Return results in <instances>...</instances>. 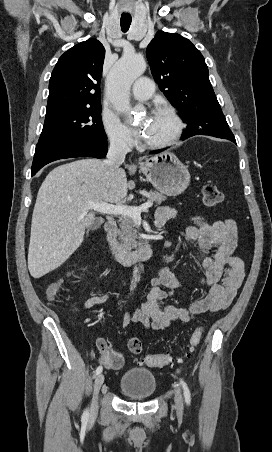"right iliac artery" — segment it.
<instances>
[{
  "mask_svg": "<svg viewBox=\"0 0 272 452\" xmlns=\"http://www.w3.org/2000/svg\"><path fill=\"white\" fill-rule=\"evenodd\" d=\"M102 370H103L102 366H98L97 369H96V371H95V374H96V375L100 374V373L102 372ZM88 416H89V413H88V410H86V411L83 413L82 418H83V419H87Z\"/></svg>",
  "mask_w": 272,
  "mask_h": 452,
  "instance_id": "right-iliac-artery-1",
  "label": "right iliac artery"
}]
</instances>
